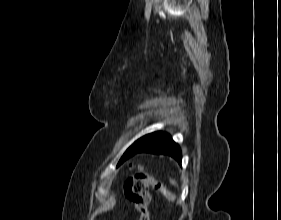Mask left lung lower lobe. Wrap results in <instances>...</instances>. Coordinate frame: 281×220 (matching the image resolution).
Segmentation results:
<instances>
[{"instance_id":"left-lung-lower-lobe-1","label":"left lung lower lobe","mask_w":281,"mask_h":220,"mask_svg":"<svg viewBox=\"0 0 281 220\" xmlns=\"http://www.w3.org/2000/svg\"><path fill=\"white\" fill-rule=\"evenodd\" d=\"M141 152L169 155L179 163H181L182 159L179 145L172 140L169 134L164 132H155L154 136L139 147L133 155Z\"/></svg>"}]
</instances>
